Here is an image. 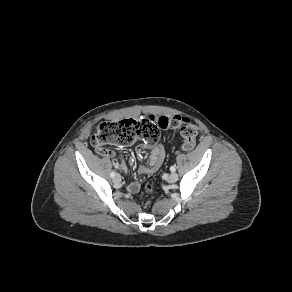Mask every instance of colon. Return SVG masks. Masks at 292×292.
Wrapping results in <instances>:
<instances>
[{
  "label": "colon",
  "instance_id": "colon-1",
  "mask_svg": "<svg viewBox=\"0 0 292 292\" xmlns=\"http://www.w3.org/2000/svg\"><path fill=\"white\" fill-rule=\"evenodd\" d=\"M161 128L179 130L184 151L195 147L198 128L190 119L180 116L105 121L97 127L91 137V144L97 151H101L106 144L127 145L140 138L155 143L159 139ZM147 190L151 191L152 186L147 185Z\"/></svg>",
  "mask_w": 292,
  "mask_h": 292
}]
</instances>
